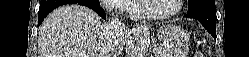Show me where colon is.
Returning a JSON list of instances; mask_svg holds the SVG:
<instances>
[{
	"mask_svg": "<svg viewBox=\"0 0 249 57\" xmlns=\"http://www.w3.org/2000/svg\"><path fill=\"white\" fill-rule=\"evenodd\" d=\"M194 57H203V54H202V53L197 52V53L194 55Z\"/></svg>",
	"mask_w": 249,
	"mask_h": 57,
	"instance_id": "5ec220e1",
	"label": "colon"
}]
</instances>
